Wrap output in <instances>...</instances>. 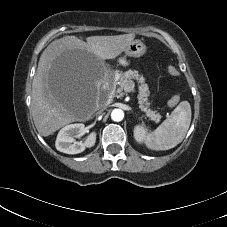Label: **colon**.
Listing matches in <instances>:
<instances>
[{
	"instance_id": "1",
	"label": "colon",
	"mask_w": 227,
	"mask_h": 227,
	"mask_svg": "<svg viewBox=\"0 0 227 227\" xmlns=\"http://www.w3.org/2000/svg\"><path fill=\"white\" fill-rule=\"evenodd\" d=\"M168 72L171 75H178V70L174 67H169ZM178 102H179V96H173L170 99L169 104H170V106H175Z\"/></svg>"
}]
</instances>
